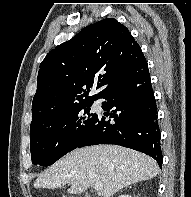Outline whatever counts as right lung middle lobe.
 I'll return each instance as SVG.
<instances>
[{
	"label": "right lung middle lobe",
	"mask_w": 191,
	"mask_h": 197,
	"mask_svg": "<svg viewBox=\"0 0 191 197\" xmlns=\"http://www.w3.org/2000/svg\"><path fill=\"white\" fill-rule=\"evenodd\" d=\"M92 103L90 101L71 107L30 129L33 164L52 165L77 148L97 118L95 113L90 112Z\"/></svg>",
	"instance_id": "dd1d6c3e"
}]
</instances>
